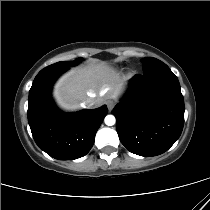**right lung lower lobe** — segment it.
Segmentation results:
<instances>
[{
	"mask_svg": "<svg viewBox=\"0 0 210 210\" xmlns=\"http://www.w3.org/2000/svg\"><path fill=\"white\" fill-rule=\"evenodd\" d=\"M66 66L46 67L35 77L29 91L28 122L36 144L59 160L86 155L108 109L82 110L73 114L59 111L51 99V88Z\"/></svg>",
	"mask_w": 210,
	"mask_h": 210,
	"instance_id": "98d812e1",
	"label": "right lung lower lobe"
}]
</instances>
